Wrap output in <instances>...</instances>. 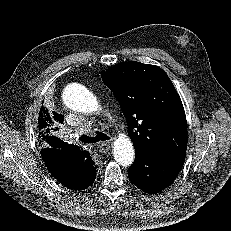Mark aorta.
Here are the masks:
<instances>
[{
  "mask_svg": "<svg viewBox=\"0 0 231 231\" xmlns=\"http://www.w3.org/2000/svg\"><path fill=\"white\" fill-rule=\"evenodd\" d=\"M62 99L68 108L81 113H94L100 107L94 94L78 83L67 85L63 90ZM113 156L116 162L123 167H128L133 163L135 151L129 137L123 135L115 140Z\"/></svg>",
  "mask_w": 231,
  "mask_h": 231,
  "instance_id": "obj_1",
  "label": "aorta"
}]
</instances>
